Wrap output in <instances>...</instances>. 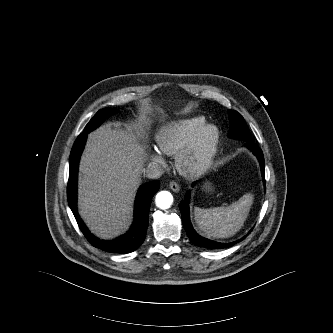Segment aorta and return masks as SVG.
<instances>
[{
    "mask_svg": "<svg viewBox=\"0 0 333 333\" xmlns=\"http://www.w3.org/2000/svg\"><path fill=\"white\" fill-rule=\"evenodd\" d=\"M155 202L158 208L168 209L173 203V196L168 191H161L156 195Z\"/></svg>",
    "mask_w": 333,
    "mask_h": 333,
    "instance_id": "obj_1",
    "label": "aorta"
}]
</instances>
